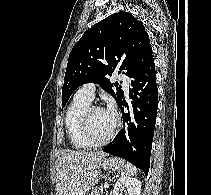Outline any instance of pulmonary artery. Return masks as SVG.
<instances>
[{"label":"pulmonary artery","mask_w":211,"mask_h":195,"mask_svg":"<svg viewBox=\"0 0 211 195\" xmlns=\"http://www.w3.org/2000/svg\"><path fill=\"white\" fill-rule=\"evenodd\" d=\"M122 79H123L124 90H125V92H128L130 80L125 76H123ZM77 93L92 101L94 99V96H95V86L92 83L84 84L83 86H81L78 89Z\"/></svg>","instance_id":"obj_1"}]
</instances>
